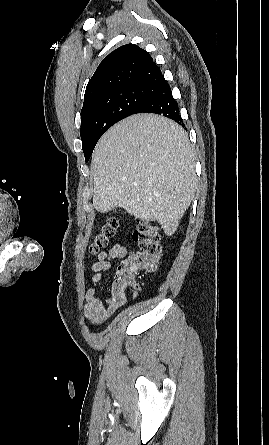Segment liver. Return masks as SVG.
<instances>
[{
    "label": "liver",
    "instance_id": "6515ba94",
    "mask_svg": "<svg viewBox=\"0 0 269 445\" xmlns=\"http://www.w3.org/2000/svg\"><path fill=\"white\" fill-rule=\"evenodd\" d=\"M91 170L98 212L123 208L135 218L158 221L167 236L197 189L186 132L155 114L132 115L111 127L95 147Z\"/></svg>",
    "mask_w": 269,
    "mask_h": 445
}]
</instances>
